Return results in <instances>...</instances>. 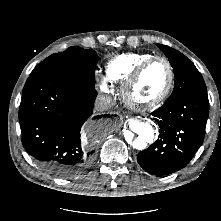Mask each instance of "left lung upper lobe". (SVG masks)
<instances>
[{
	"label": "left lung upper lobe",
	"instance_id": "obj_1",
	"mask_svg": "<svg viewBox=\"0 0 221 221\" xmlns=\"http://www.w3.org/2000/svg\"><path fill=\"white\" fill-rule=\"evenodd\" d=\"M157 46L168 57L174 69L175 85L168 101L182 98L191 92L207 91L201 73L191 60L171 47L161 44H157Z\"/></svg>",
	"mask_w": 221,
	"mask_h": 221
}]
</instances>
